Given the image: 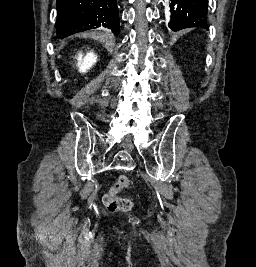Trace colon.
Here are the masks:
<instances>
[{
    "label": "colon",
    "instance_id": "colon-1",
    "mask_svg": "<svg viewBox=\"0 0 256 267\" xmlns=\"http://www.w3.org/2000/svg\"><path fill=\"white\" fill-rule=\"evenodd\" d=\"M128 188H130V182L127 176H119L113 182L110 189L103 196V202L108 211L124 212L131 209L132 202L120 195L122 191Z\"/></svg>",
    "mask_w": 256,
    "mask_h": 267
}]
</instances>
